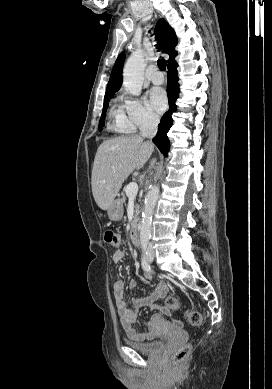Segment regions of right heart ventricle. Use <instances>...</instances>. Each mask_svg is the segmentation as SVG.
<instances>
[{
    "mask_svg": "<svg viewBox=\"0 0 272 389\" xmlns=\"http://www.w3.org/2000/svg\"><path fill=\"white\" fill-rule=\"evenodd\" d=\"M109 128L115 133H131L134 129L125 115L123 106L114 100L109 111Z\"/></svg>",
    "mask_w": 272,
    "mask_h": 389,
    "instance_id": "1",
    "label": "right heart ventricle"
}]
</instances>
